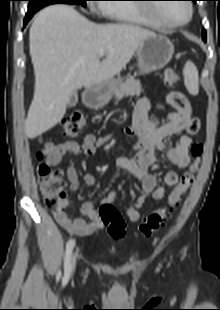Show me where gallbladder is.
Here are the masks:
<instances>
[{"mask_svg":"<svg viewBox=\"0 0 220 310\" xmlns=\"http://www.w3.org/2000/svg\"><path fill=\"white\" fill-rule=\"evenodd\" d=\"M78 102L77 93L73 92L69 98V101L67 102V106L72 108L75 107Z\"/></svg>","mask_w":220,"mask_h":310,"instance_id":"gallbladder-1","label":"gallbladder"}]
</instances>
